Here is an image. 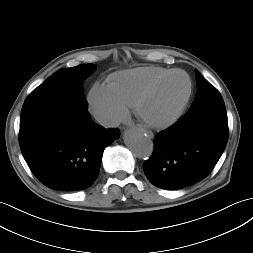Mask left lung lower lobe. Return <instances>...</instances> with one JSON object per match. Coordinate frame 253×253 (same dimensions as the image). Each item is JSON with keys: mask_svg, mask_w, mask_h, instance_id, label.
Returning <instances> with one entry per match:
<instances>
[{"mask_svg": "<svg viewBox=\"0 0 253 253\" xmlns=\"http://www.w3.org/2000/svg\"><path fill=\"white\" fill-rule=\"evenodd\" d=\"M228 140L226 111L182 117L156 135L154 152L144 163L148 180L162 189H181L207 177Z\"/></svg>", "mask_w": 253, "mask_h": 253, "instance_id": "1", "label": "left lung lower lobe"}]
</instances>
